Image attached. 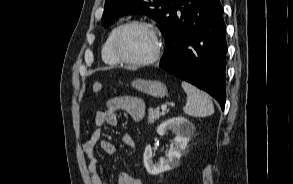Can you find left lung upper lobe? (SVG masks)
Masks as SVG:
<instances>
[{
  "mask_svg": "<svg viewBox=\"0 0 293 184\" xmlns=\"http://www.w3.org/2000/svg\"><path fill=\"white\" fill-rule=\"evenodd\" d=\"M177 2L178 0H106L101 22L104 27H109L121 16L145 14L158 23L166 38Z\"/></svg>",
  "mask_w": 293,
  "mask_h": 184,
  "instance_id": "1",
  "label": "left lung upper lobe"
}]
</instances>
